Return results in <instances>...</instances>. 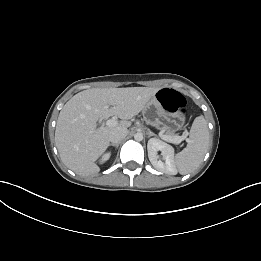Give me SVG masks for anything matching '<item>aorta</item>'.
<instances>
[{
	"label": "aorta",
	"mask_w": 261,
	"mask_h": 261,
	"mask_svg": "<svg viewBox=\"0 0 261 261\" xmlns=\"http://www.w3.org/2000/svg\"><path fill=\"white\" fill-rule=\"evenodd\" d=\"M134 139H135L136 141H142V140H143V134H142V133H136V134L134 135Z\"/></svg>",
	"instance_id": "aorta-1"
}]
</instances>
